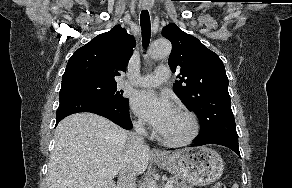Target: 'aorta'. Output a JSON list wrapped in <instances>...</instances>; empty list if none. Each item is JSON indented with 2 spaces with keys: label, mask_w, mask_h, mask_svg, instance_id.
<instances>
[{
  "label": "aorta",
  "mask_w": 292,
  "mask_h": 188,
  "mask_svg": "<svg viewBox=\"0 0 292 188\" xmlns=\"http://www.w3.org/2000/svg\"><path fill=\"white\" fill-rule=\"evenodd\" d=\"M171 53V44L166 39L155 40L149 49V55L152 59L158 60L167 57ZM147 188H157V183L153 180L149 181Z\"/></svg>",
  "instance_id": "aorta-1"
}]
</instances>
